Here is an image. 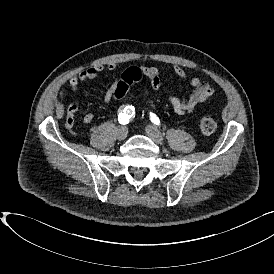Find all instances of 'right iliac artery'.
I'll use <instances>...</instances> for the list:
<instances>
[{
  "mask_svg": "<svg viewBox=\"0 0 274 274\" xmlns=\"http://www.w3.org/2000/svg\"><path fill=\"white\" fill-rule=\"evenodd\" d=\"M133 115H134V108L128 106L127 108L124 109V111L119 113L118 121L120 124L125 125L129 123V121L133 118Z\"/></svg>",
  "mask_w": 274,
  "mask_h": 274,
  "instance_id": "82829eb1",
  "label": "right iliac artery"
}]
</instances>
